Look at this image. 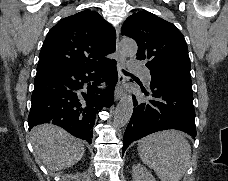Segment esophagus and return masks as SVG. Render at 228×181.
Listing matches in <instances>:
<instances>
[{
  "mask_svg": "<svg viewBox=\"0 0 228 181\" xmlns=\"http://www.w3.org/2000/svg\"><path fill=\"white\" fill-rule=\"evenodd\" d=\"M118 38H119V32L117 31V45H116V51L118 53V58H117V64H118V82L115 87V93H114V98L115 101L119 100L124 93V88L126 86V76L122 72V67L125 64L126 58L120 54V51L118 49Z\"/></svg>",
  "mask_w": 228,
  "mask_h": 181,
  "instance_id": "1",
  "label": "esophagus"
}]
</instances>
